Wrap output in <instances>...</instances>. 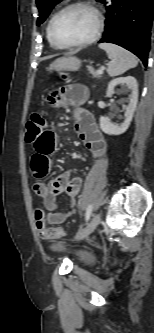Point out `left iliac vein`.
<instances>
[{"instance_id": "1", "label": "left iliac vein", "mask_w": 154, "mask_h": 333, "mask_svg": "<svg viewBox=\"0 0 154 333\" xmlns=\"http://www.w3.org/2000/svg\"><path fill=\"white\" fill-rule=\"evenodd\" d=\"M100 220H101L100 214L99 213L95 214L93 216V218L91 219V221L86 226V228L80 234H78L76 236L75 240L81 241V240L87 238L98 226V224L100 223Z\"/></svg>"}]
</instances>
